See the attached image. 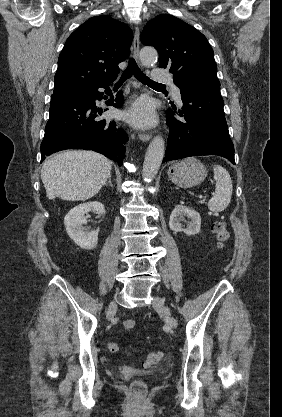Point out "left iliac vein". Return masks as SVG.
<instances>
[{"label":"left iliac vein","instance_id":"1","mask_svg":"<svg viewBox=\"0 0 282 417\" xmlns=\"http://www.w3.org/2000/svg\"><path fill=\"white\" fill-rule=\"evenodd\" d=\"M152 306L157 312L164 316L165 322L170 328H177V321L166 309L163 299L155 298L152 302Z\"/></svg>","mask_w":282,"mask_h":417}]
</instances>
